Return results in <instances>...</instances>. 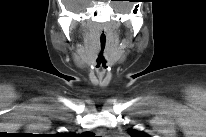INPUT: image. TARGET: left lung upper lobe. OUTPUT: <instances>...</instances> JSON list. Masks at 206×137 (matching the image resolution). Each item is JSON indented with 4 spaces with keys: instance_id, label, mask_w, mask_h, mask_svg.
I'll return each instance as SVG.
<instances>
[{
    "instance_id": "5c2ea615",
    "label": "left lung upper lobe",
    "mask_w": 206,
    "mask_h": 137,
    "mask_svg": "<svg viewBox=\"0 0 206 137\" xmlns=\"http://www.w3.org/2000/svg\"><path fill=\"white\" fill-rule=\"evenodd\" d=\"M128 133L132 136V137H149L146 133L142 132V131H138V130H133V129H129Z\"/></svg>"
}]
</instances>
